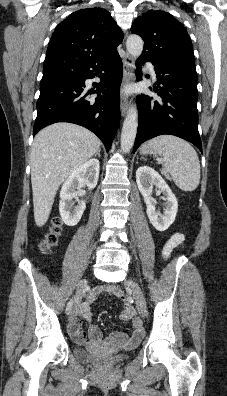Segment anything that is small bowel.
<instances>
[{
	"label": "small bowel",
	"instance_id": "c3829d8e",
	"mask_svg": "<svg viewBox=\"0 0 227 396\" xmlns=\"http://www.w3.org/2000/svg\"><path fill=\"white\" fill-rule=\"evenodd\" d=\"M184 241L185 236L182 233H174L163 247V256L165 258L169 257V255L173 251L178 250L183 246ZM102 293H111L119 297V294H121L122 292L119 287L113 285L99 286L93 289L92 292L87 296L85 302L81 305L78 316L71 320L69 324V331L72 337L76 341L81 343L86 341H89L93 344H101L105 342L111 345H133L138 343L142 339L144 332L141 328L138 318L135 316V311L133 307L128 303L124 304L123 311L120 314V319L123 321L131 320V335H127L124 332L116 331L109 334L106 338H103L101 330L93 324L89 325L87 332L82 331L81 321L79 318H84L88 323L91 322V305Z\"/></svg>",
	"mask_w": 227,
	"mask_h": 396
}]
</instances>
